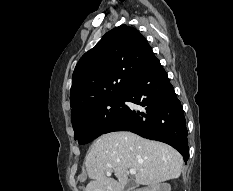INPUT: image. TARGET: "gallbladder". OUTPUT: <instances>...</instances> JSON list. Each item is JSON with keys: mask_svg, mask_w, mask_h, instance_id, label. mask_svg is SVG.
I'll list each match as a JSON object with an SVG mask.
<instances>
[{"mask_svg": "<svg viewBox=\"0 0 233 191\" xmlns=\"http://www.w3.org/2000/svg\"><path fill=\"white\" fill-rule=\"evenodd\" d=\"M135 187V182L134 180L130 179L126 185V190L125 191H130V189Z\"/></svg>", "mask_w": 233, "mask_h": 191, "instance_id": "bac80fb5", "label": "gallbladder"}]
</instances>
